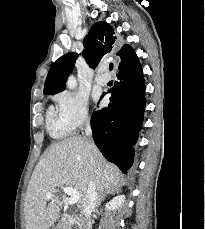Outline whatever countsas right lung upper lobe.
I'll use <instances>...</instances> for the list:
<instances>
[{"instance_id":"right-lung-upper-lobe-1","label":"right lung upper lobe","mask_w":205,"mask_h":229,"mask_svg":"<svg viewBox=\"0 0 205 229\" xmlns=\"http://www.w3.org/2000/svg\"><path fill=\"white\" fill-rule=\"evenodd\" d=\"M83 55L88 64L95 68L100 60L116 48L113 28L106 22L95 23L84 39ZM120 57L119 69L132 65L138 58L129 45H124L116 54ZM78 54L71 52L57 59L51 66L44 85V94L54 95L65 89L69 73L72 72Z\"/></svg>"}]
</instances>
